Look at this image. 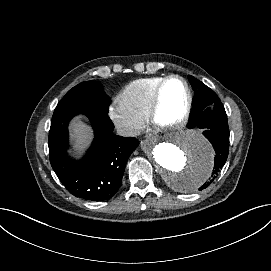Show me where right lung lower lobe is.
<instances>
[{
    "label": "right lung lower lobe",
    "instance_id": "1",
    "mask_svg": "<svg viewBox=\"0 0 271 271\" xmlns=\"http://www.w3.org/2000/svg\"><path fill=\"white\" fill-rule=\"evenodd\" d=\"M80 113L90 119L95 138L85 157L74 161L66 152L68 123ZM113 129L107 112L90 106L70 107L54 113L48 140L50 163L74 196L104 201L112 198L121 186L127 160L139 142L136 138L116 136Z\"/></svg>",
    "mask_w": 271,
    "mask_h": 271
}]
</instances>
